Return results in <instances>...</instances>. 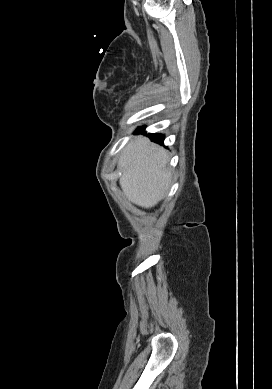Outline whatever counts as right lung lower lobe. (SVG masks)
<instances>
[{
    "label": "right lung lower lobe",
    "mask_w": 272,
    "mask_h": 389,
    "mask_svg": "<svg viewBox=\"0 0 272 389\" xmlns=\"http://www.w3.org/2000/svg\"><path fill=\"white\" fill-rule=\"evenodd\" d=\"M144 128H138V131H143ZM152 141L163 144L164 136L162 134H149Z\"/></svg>",
    "instance_id": "98d812e1"
}]
</instances>
